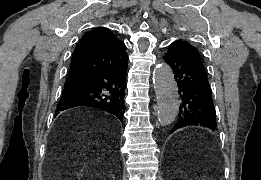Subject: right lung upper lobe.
<instances>
[{
  "label": "right lung upper lobe",
  "mask_w": 261,
  "mask_h": 180,
  "mask_svg": "<svg viewBox=\"0 0 261 180\" xmlns=\"http://www.w3.org/2000/svg\"><path fill=\"white\" fill-rule=\"evenodd\" d=\"M125 45L111 31L98 27L77 44L66 82H84L94 72L127 63Z\"/></svg>",
  "instance_id": "right-lung-upper-lobe-1"
}]
</instances>
